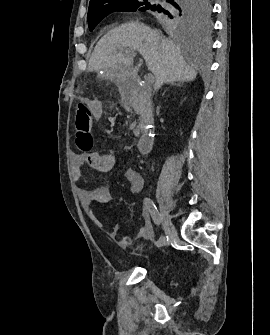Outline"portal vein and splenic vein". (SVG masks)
<instances>
[{
  "label": "portal vein and splenic vein",
  "instance_id": "obj_1",
  "mask_svg": "<svg viewBox=\"0 0 270 335\" xmlns=\"http://www.w3.org/2000/svg\"><path fill=\"white\" fill-rule=\"evenodd\" d=\"M126 54H133V50H128ZM124 64H128V62H124ZM154 79H155V76L153 74H150L148 76L147 83L149 84V86H152V84L154 83Z\"/></svg>",
  "mask_w": 270,
  "mask_h": 335
}]
</instances>
